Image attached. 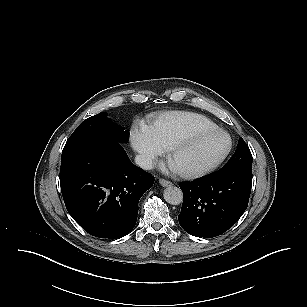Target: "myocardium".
I'll return each mask as SVG.
<instances>
[{"mask_svg":"<svg viewBox=\"0 0 307 307\" xmlns=\"http://www.w3.org/2000/svg\"><path fill=\"white\" fill-rule=\"evenodd\" d=\"M216 134H223L228 139V145L225 151L214 161L206 165L192 168V169L175 170L179 176H181L182 178H186V179L198 178L206 174H209L215 171L217 168H219L226 161V159L229 157L230 153L232 152V149H233L232 136L226 130L216 127L213 129L194 132L188 135L187 137H185L184 139L176 142L175 144L167 148L166 154L168 158L170 159L173 156L177 155L178 153L188 149L190 146H192L196 142L202 139L208 138L210 136L216 135Z\"/></svg>","mask_w":307,"mask_h":307,"instance_id":"1","label":"myocardium"}]
</instances>
